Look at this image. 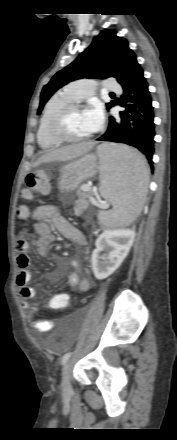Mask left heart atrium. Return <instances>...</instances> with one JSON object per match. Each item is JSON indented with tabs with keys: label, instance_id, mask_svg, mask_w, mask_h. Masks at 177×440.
<instances>
[{
	"label": "left heart atrium",
	"instance_id": "1",
	"mask_svg": "<svg viewBox=\"0 0 177 440\" xmlns=\"http://www.w3.org/2000/svg\"><path fill=\"white\" fill-rule=\"evenodd\" d=\"M84 114L90 132L92 133L97 131L101 127L104 119L103 109L101 105H93L89 109L85 110Z\"/></svg>",
	"mask_w": 177,
	"mask_h": 440
}]
</instances>
